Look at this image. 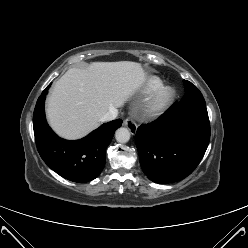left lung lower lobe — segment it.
Returning <instances> with one entry per match:
<instances>
[{"instance_id":"obj_1","label":"left lung lower lobe","mask_w":248,"mask_h":248,"mask_svg":"<svg viewBox=\"0 0 248 248\" xmlns=\"http://www.w3.org/2000/svg\"><path fill=\"white\" fill-rule=\"evenodd\" d=\"M210 140L203 96L174 103L157 120L138 127L135 141L141 168L156 183H172L190 175Z\"/></svg>"}]
</instances>
